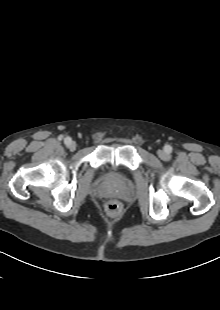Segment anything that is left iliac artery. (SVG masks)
Here are the masks:
<instances>
[{
    "instance_id": "obj_1",
    "label": "left iliac artery",
    "mask_w": 220,
    "mask_h": 310,
    "mask_svg": "<svg viewBox=\"0 0 220 310\" xmlns=\"http://www.w3.org/2000/svg\"><path fill=\"white\" fill-rule=\"evenodd\" d=\"M165 150L167 151V152H171L172 151V147L171 146H169V145H167L166 147H165Z\"/></svg>"
}]
</instances>
